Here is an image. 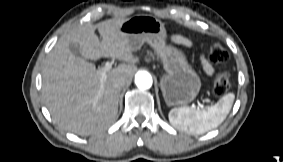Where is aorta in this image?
Instances as JSON below:
<instances>
[{
    "mask_svg": "<svg viewBox=\"0 0 283 162\" xmlns=\"http://www.w3.org/2000/svg\"><path fill=\"white\" fill-rule=\"evenodd\" d=\"M152 76L146 71H139L135 75V84L141 90L149 89L152 86Z\"/></svg>",
    "mask_w": 283,
    "mask_h": 162,
    "instance_id": "aorta-1",
    "label": "aorta"
}]
</instances>
